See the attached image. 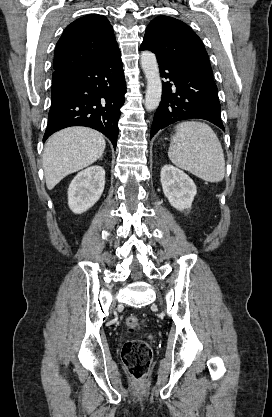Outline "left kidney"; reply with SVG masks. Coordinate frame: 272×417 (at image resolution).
Wrapping results in <instances>:
<instances>
[{
	"label": "left kidney",
	"instance_id": "obj_1",
	"mask_svg": "<svg viewBox=\"0 0 272 417\" xmlns=\"http://www.w3.org/2000/svg\"><path fill=\"white\" fill-rule=\"evenodd\" d=\"M160 177L163 193L170 205L179 211L190 209L197 193L193 180L172 165H164Z\"/></svg>",
	"mask_w": 272,
	"mask_h": 417
}]
</instances>
